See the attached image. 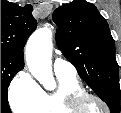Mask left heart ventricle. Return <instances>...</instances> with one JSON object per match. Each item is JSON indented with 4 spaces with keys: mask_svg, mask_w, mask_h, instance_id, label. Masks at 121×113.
Segmentation results:
<instances>
[{
    "mask_svg": "<svg viewBox=\"0 0 121 113\" xmlns=\"http://www.w3.org/2000/svg\"><path fill=\"white\" fill-rule=\"evenodd\" d=\"M85 109L90 113H104V108L96 101H88Z\"/></svg>",
    "mask_w": 121,
    "mask_h": 113,
    "instance_id": "obj_1",
    "label": "left heart ventricle"
}]
</instances>
